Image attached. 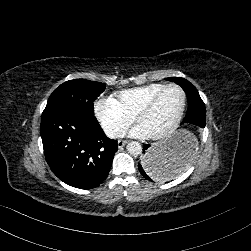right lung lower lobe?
I'll list each match as a JSON object with an SVG mask.
<instances>
[{
  "instance_id": "1",
  "label": "right lung lower lobe",
  "mask_w": 251,
  "mask_h": 251,
  "mask_svg": "<svg viewBox=\"0 0 251 251\" xmlns=\"http://www.w3.org/2000/svg\"><path fill=\"white\" fill-rule=\"evenodd\" d=\"M40 134L52 172L66 184L91 189L108 176L118 144L104 134L94 113L45 109Z\"/></svg>"
}]
</instances>
